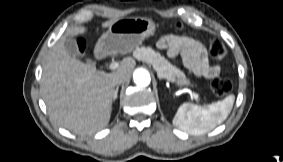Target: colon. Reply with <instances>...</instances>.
<instances>
[{"mask_svg":"<svg viewBox=\"0 0 283 162\" xmlns=\"http://www.w3.org/2000/svg\"><path fill=\"white\" fill-rule=\"evenodd\" d=\"M177 28L182 29V25L178 24ZM209 51H210L211 57L216 60H223L227 56L226 47L218 39L210 40ZM79 53L81 56L85 55V45L84 44H79ZM211 88L216 97L223 98L232 91L233 84L229 79L217 78L212 81Z\"/></svg>","mask_w":283,"mask_h":162,"instance_id":"colon-1","label":"colon"}]
</instances>
